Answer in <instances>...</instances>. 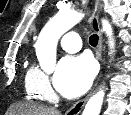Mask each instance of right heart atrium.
Listing matches in <instances>:
<instances>
[{"label": "right heart atrium", "mask_w": 131, "mask_h": 115, "mask_svg": "<svg viewBox=\"0 0 131 115\" xmlns=\"http://www.w3.org/2000/svg\"><path fill=\"white\" fill-rule=\"evenodd\" d=\"M30 81L32 88L40 94L43 99L52 100L54 98V92L49 77L42 70L35 68L30 77Z\"/></svg>", "instance_id": "d8ad5b80"}]
</instances>
